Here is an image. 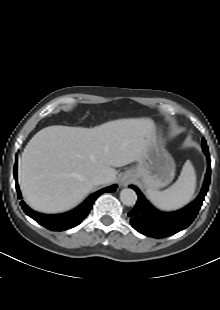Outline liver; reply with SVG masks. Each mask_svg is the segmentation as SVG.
Here are the masks:
<instances>
[{
	"label": "liver",
	"mask_w": 220,
	"mask_h": 310,
	"mask_svg": "<svg viewBox=\"0 0 220 310\" xmlns=\"http://www.w3.org/2000/svg\"><path fill=\"white\" fill-rule=\"evenodd\" d=\"M150 118L106 122L94 128L49 126L26 145L18 166L22 194L31 208L59 213L76 206L97 174L116 180L115 167L138 161L155 139Z\"/></svg>",
	"instance_id": "1"
}]
</instances>
